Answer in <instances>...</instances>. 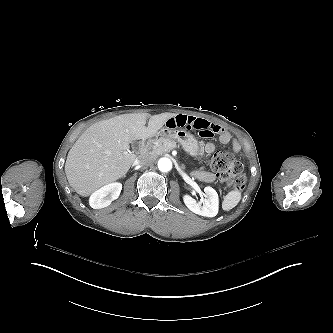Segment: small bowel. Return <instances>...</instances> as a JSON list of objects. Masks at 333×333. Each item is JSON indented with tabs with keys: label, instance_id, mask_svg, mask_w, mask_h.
<instances>
[{
	"label": "small bowel",
	"instance_id": "1",
	"mask_svg": "<svg viewBox=\"0 0 333 333\" xmlns=\"http://www.w3.org/2000/svg\"><path fill=\"white\" fill-rule=\"evenodd\" d=\"M166 126L168 129H193L196 130V134L199 137L207 138L214 135H219V139L222 144H231L233 154L238 155L241 152V144L238 140L233 138V136L228 131L222 129L221 126L203 118L186 114H177L168 119ZM214 150L215 145L212 143H208L204 146V151L208 154L212 153ZM193 175L197 179L205 182H211L214 179L212 174L204 171H195Z\"/></svg>",
	"mask_w": 333,
	"mask_h": 333
}]
</instances>
